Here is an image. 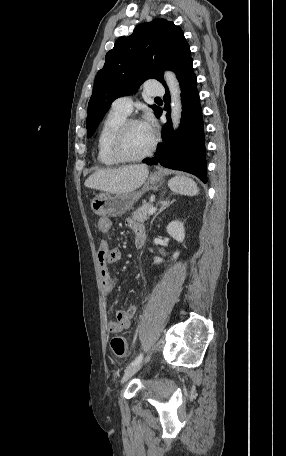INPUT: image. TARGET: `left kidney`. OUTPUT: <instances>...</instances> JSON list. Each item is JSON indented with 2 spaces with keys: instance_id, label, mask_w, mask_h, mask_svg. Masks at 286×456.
<instances>
[{
  "instance_id": "5707ae66",
  "label": "left kidney",
  "mask_w": 286,
  "mask_h": 456,
  "mask_svg": "<svg viewBox=\"0 0 286 456\" xmlns=\"http://www.w3.org/2000/svg\"><path fill=\"white\" fill-rule=\"evenodd\" d=\"M166 230H167V233L172 236L176 241H178L179 243L183 242L184 238H185V229H184V224L180 221H172L168 224V226L166 227ZM180 252L176 251L173 256H172V259H177V257L179 256ZM163 262V259L162 258H159V257H155L154 258V263L155 264H160Z\"/></svg>"
}]
</instances>
